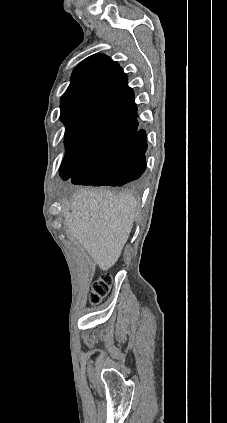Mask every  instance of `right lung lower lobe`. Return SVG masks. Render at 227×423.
<instances>
[{
    "label": "right lung lower lobe",
    "mask_w": 227,
    "mask_h": 423,
    "mask_svg": "<svg viewBox=\"0 0 227 423\" xmlns=\"http://www.w3.org/2000/svg\"><path fill=\"white\" fill-rule=\"evenodd\" d=\"M103 115L107 120L124 121L138 127L134 98L107 109ZM146 149V133L139 130L129 138L93 153L71 177L68 175V166L63 161L60 176L63 180L71 179L75 185L123 186L138 179L145 171Z\"/></svg>",
    "instance_id": "obj_1"
}]
</instances>
